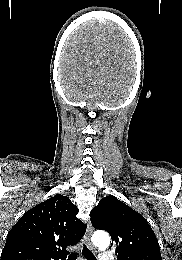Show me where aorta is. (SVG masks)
<instances>
[{"instance_id":"1","label":"aorta","mask_w":182,"mask_h":260,"mask_svg":"<svg viewBox=\"0 0 182 260\" xmlns=\"http://www.w3.org/2000/svg\"><path fill=\"white\" fill-rule=\"evenodd\" d=\"M92 242L99 249H106L110 245V237L105 232H96L92 236Z\"/></svg>"}]
</instances>
